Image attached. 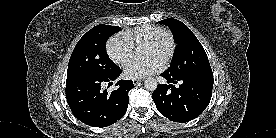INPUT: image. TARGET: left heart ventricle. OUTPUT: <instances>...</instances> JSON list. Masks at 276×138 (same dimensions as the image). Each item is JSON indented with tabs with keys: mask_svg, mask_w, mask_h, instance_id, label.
Segmentation results:
<instances>
[{
	"mask_svg": "<svg viewBox=\"0 0 276 138\" xmlns=\"http://www.w3.org/2000/svg\"><path fill=\"white\" fill-rule=\"evenodd\" d=\"M169 50V42L167 40H163L161 44L158 46H145L143 49V56L146 58L154 57L162 62L166 54Z\"/></svg>",
	"mask_w": 276,
	"mask_h": 138,
	"instance_id": "left-heart-ventricle-1",
	"label": "left heart ventricle"
}]
</instances>
